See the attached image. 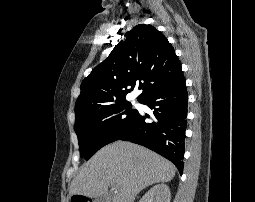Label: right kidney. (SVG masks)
<instances>
[{
	"mask_svg": "<svg viewBox=\"0 0 255 202\" xmlns=\"http://www.w3.org/2000/svg\"><path fill=\"white\" fill-rule=\"evenodd\" d=\"M171 193L166 184L153 186L139 202H170Z\"/></svg>",
	"mask_w": 255,
	"mask_h": 202,
	"instance_id": "obj_1",
	"label": "right kidney"
}]
</instances>
